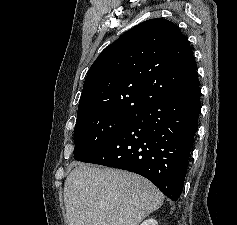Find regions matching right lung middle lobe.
<instances>
[{
    "instance_id": "dd1d6c3e",
    "label": "right lung middle lobe",
    "mask_w": 237,
    "mask_h": 225,
    "mask_svg": "<svg viewBox=\"0 0 237 225\" xmlns=\"http://www.w3.org/2000/svg\"><path fill=\"white\" fill-rule=\"evenodd\" d=\"M126 115H96L78 119L74 129V158L80 160L121 130L134 117Z\"/></svg>"
}]
</instances>
